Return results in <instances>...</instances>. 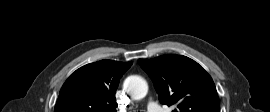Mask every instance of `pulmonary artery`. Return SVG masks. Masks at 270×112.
Listing matches in <instances>:
<instances>
[{
  "label": "pulmonary artery",
  "instance_id": "1",
  "mask_svg": "<svg viewBox=\"0 0 270 112\" xmlns=\"http://www.w3.org/2000/svg\"><path fill=\"white\" fill-rule=\"evenodd\" d=\"M149 112H162V109L156 103H149Z\"/></svg>",
  "mask_w": 270,
  "mask_h": 112
}]
</instances>
